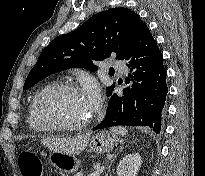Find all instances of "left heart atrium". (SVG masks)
I'll return each instance as SVG.
<instances>
[{
    "mask_svg": "<svg viewBox=\"0 0 205 176\" xmlns=\"http://www.w3.org/2000/svg\"><path fill=\"white\" fill-rule=\"evenodd\" d=\"M83 97L91 111L96 110L100 106V94L94 85H86L83 91Z\"/></svg>",
    "mask_w": 205,
    "mask_h": 176,
    "instance_id": "left-heart-atrium-1",
    "label": "left heart atrium"
}]
</instances>
